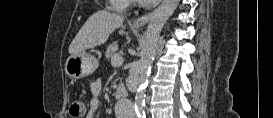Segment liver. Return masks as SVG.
Instances as JSON below:
<instances>
[{
    "label": "liver",
    "instance_id": "obj_1",
    "mask_svg": "<svg viewBox=\"0 0 273 118\" xmlns=\"http://www.w3.org/2000/svg\"><path fill=\"white\" fill-rule=\"evenodd\" d=\"M124 16L100 10L91 15L79 30L69 46V53L79 54L86 49H92L104 44L110 34L119 28Z\"/></svg>",
    "mask_w": 273,
    "mask_h": 118
}]
</instances>
